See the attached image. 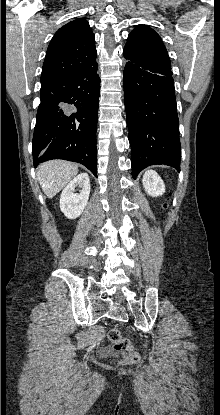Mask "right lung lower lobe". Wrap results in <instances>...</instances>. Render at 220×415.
Returning <instances> with one entry per match:
<instances>
[{
	"instance_id": "1",
	"label": "right lung lower lobe",
	"mask_w": 220,
	"mask_h": 415,
	"mask_svg": "<svg viewBox=\"0 0 220 415\" xmlns=\"http://www.w3.org/2000/svg\"><path fill=\"white\" fill-rule=\"evenodd\" d=\"M95 66L41 87L34 129V167L51 159L86 166L96 177L100 78Z\"/></svg>"
}]
</instances>
